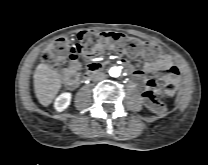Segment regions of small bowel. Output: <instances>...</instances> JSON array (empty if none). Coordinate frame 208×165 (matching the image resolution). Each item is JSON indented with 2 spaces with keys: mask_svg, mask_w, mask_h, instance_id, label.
Segmentation results:
<instances>
[{
  "mask_svg": "<svg viewBox=\"0 0 208 165\" xmlns=\"http://www.w3.org/2000/svg\"><path fill=\"white\" fill-rule=\"evenodd\" d=\"M147 60L143 64V70L150 73H155L159 79L163 81H175L180 76V69L175 65L169 55L163 54L160 56L143 55ZM124 65H127L125 60L122 61ZM81 64L78 61H69L66 64L65 69L61 72V78L68 88L75 89L78 86L79 71ZM144 71L137 70L133 73V77L136 81L143 83L144 92L143 97L145 103L151 108L150 101L156 98V85L153 80H147L144 75ZM154 110V109H153Z\"/></svg>",
  "mask_w": 208,
  "mask_h": 165,
  "instance_id": "obj_1",
  "label": "small bowel"
}]
</instances>
